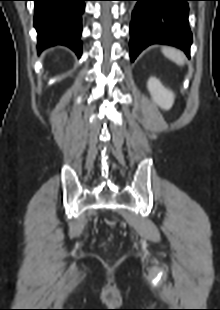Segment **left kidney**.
<instances>
[{"label":"left kidney","instance_id":"obj_1","mask_svg":"<svg viewBox=\"0 0 220 310\" xmlns=\"http://www.w3.org/2000/svg\"><path fill=\"white\" fill-rule=\"evenodd\" d=\"M147 88L153 101L162 109L168 110L172 106L171 95L155 77L149 78Z\"/></svg>","mask_w":220,"mask_h":310}]
</instances>
